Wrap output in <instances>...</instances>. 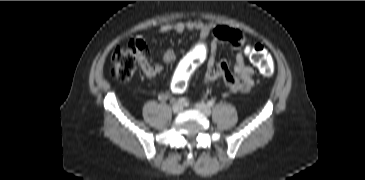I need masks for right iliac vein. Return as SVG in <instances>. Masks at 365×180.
I'll list each match as a JSON object with an SVG mask.
<instances>
[{
  "instance_id": "63e3f726",
  "label": "right iliac vein",
  "mask_w": 365,
  "mask_h": 180,
  "mask_svg": "<svg viewBox=\"0 0 365 180\" xmlns=\"http://www.w3.org/2000/svg\"><path fill=\"white\" fill-rule=\"evenodd\" d=\"M183 110L182 106L179 104H174L172 107V111L174 113H180Z\"/></svg>"
}]
</instances>
